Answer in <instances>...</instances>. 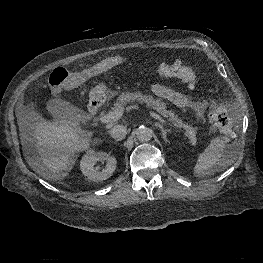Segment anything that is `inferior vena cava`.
Returning a JSON list of instances; mask_svg holds the SVG:
<instances>
[{"label":"inferior vena cava","instance_id":"inferior-vena-cava-1","mask_svg":"<svg viewBox=\"0 0 263 263\" xmlns=\"http://www.w3.org/2000/svg\"><path fill=\"white\" fill-rule=\"evenodd\" d=\"M127 134V129L123 125H116L110 130V135L117 141H120L125 138Z\"/></svg>","mask_w":263,"mask_h":263}]
</instances>
